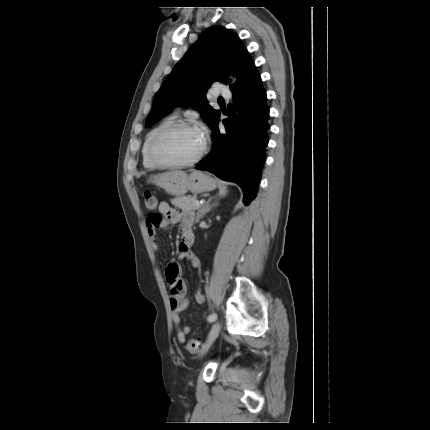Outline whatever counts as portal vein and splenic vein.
I'll return each mask as SVG.
<instances>
[{"label":"portal vein and splenic vein","mask_w":430,"mask_h":430,"mask_svg":"<svg viewBox=\"0 0 430 430\" xmlns=\"http://www.w3.org/2000/svg\"><path fill=\"white\" fill-rule=\"evenodd\" d=\"M194 203H195L196 206H201L203 204L202 202H199L198 200H195Z\"/></svg>","instance_id":"portal-vein-and-splenic-vein-1"}]
</instances>
